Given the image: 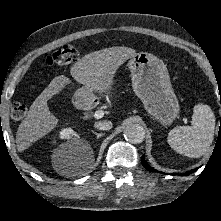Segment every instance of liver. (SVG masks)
<instances>
[{"instance_id": "1", "label": "liver", "mask_w": 221, "mask_h": 221, "mask_svg": "<svg viewBox=\"0 0 221 221\" xmlns=\"http://www.w3.org/2000/svg\"><path fill=\"white\" fill-rule=\"evenodd\" d=\"M135 54L136 51L128 47L98 50L85 55L72 65L70 73L87 88L94 99V91L105 92L111 89L118 68ZM69 83L70 79L64 75L55 77L32 103L17 130L16 143L20 151L26 150L56 127L59 120L50 112L47 101Z\"/></svg>"}]
</instances>
